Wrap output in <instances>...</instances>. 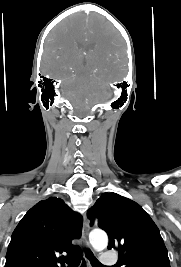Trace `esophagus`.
I'll return each instance as SVG.
<instances>
[{
    "label": "esophagus",
    "mask_w": 181,
    "mask_h": 267,
    "mask_svg": "<svg viewBox=\"0 0 181 267\" xmlns=\"http://www.w3.org/2000/svg\"><path fill=\"white\" fill-rule=\"evenodd\" d=\"M89 229H90V224L87 216L84 217V222H83V231H82V236H83V241L85 243V246L89 248V242H88V234H89Z\"/></svg>",
    "instance_id": "1"
}]
</instances>
